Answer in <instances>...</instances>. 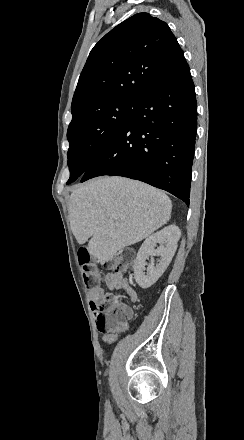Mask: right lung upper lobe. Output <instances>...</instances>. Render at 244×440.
Returning a JSON list of instances; mask_svg holds the SVG:
<instances>
[{
	"instance_id": "obj_1",
	"label": "right lung upper lobe",
	"mask_w": 244,
	"mask_h": 440,
	"mask_svg": "<svg viewBox=\"0 0 244 440\" xmlns=\"http://www.w3.org/2000/svg\"><path fill=\"white\" fill-rule=\"evenodd\" d=\"M185 61L167 23L148 13L135 14L91 50L71 110L112 97H142L158 78Z\"/></svg>"
}]
</instances>
